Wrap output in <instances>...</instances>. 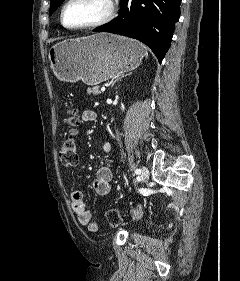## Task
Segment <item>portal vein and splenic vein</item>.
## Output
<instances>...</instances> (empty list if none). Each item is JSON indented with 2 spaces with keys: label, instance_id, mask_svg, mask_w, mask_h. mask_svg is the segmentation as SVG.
Instances as JSON below:
<instances>
[{
  "label": "portal vein and splenic vein",
  "instance_id": "18ae733b",
  "mask_svg": "<svg viewBox=\"0 0 240 281\" xmlns=\"http://www.w3.org/2000/svg\"><path fill=\"white\" fill-rule=\"evenodd\" d=\"M106 90V87H101V91H105Z\"/></svg>",
  "mask_w": 240,
  "mask_h": 281
}]
</instances>
